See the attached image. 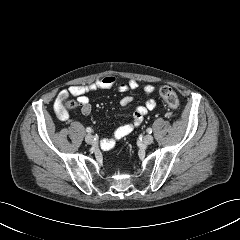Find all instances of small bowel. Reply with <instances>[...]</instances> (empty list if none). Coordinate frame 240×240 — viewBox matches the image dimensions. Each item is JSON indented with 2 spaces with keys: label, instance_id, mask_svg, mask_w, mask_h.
<instances>
[{
  "label": "small bowel",
  "instance_id": "1",
  "mask_svg": "<svg viewBox=\"0 0 240 240\" xmlns=\"http://www.w3.org/2000/svg\"><path fill=\"white\" fill-rule=\"evenodd\" d=\"M116 88L119 92H126L129 90H136L138 88V83L135 80H129L126 83H119L114 76H105L97 79L91 83L85 85H74L64 90L58 96L55 102V111L57 115L63 119L67 118V114L62 111L60 102L63 98L67 97L68 94L76 96L78 98V103L80 105L81 113L83 115H89L91 113L92 107L87 94L97 90ZM145 95L149 96L154 92V87L152 85H145L143 88ZM133 102L131 96H125L121 99L120 104L123 107L130 105ZM156 102L153 98H148L144 105L137 107L133 114L131 120L119 126L109 138L102 141V147L105 149L112 148L115 141L122 139L123 137L130 134L135 128L139 127L147 112L155 108Z\"/></svg>",
  "mask_w": 240,
  "mask_h": 240
}]
</instances>
